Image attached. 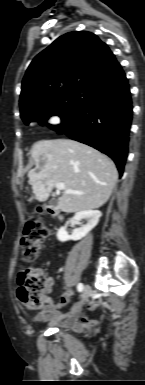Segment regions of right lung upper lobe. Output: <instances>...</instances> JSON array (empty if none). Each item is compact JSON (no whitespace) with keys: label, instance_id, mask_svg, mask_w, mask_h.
<instances>
[{"label":"right lung upper lobe","instance_id":"cb5924a9","mask_svg":"<svg viewBox=\"0 0 145 385\" xmlns=\"http://www.w3.org/2000/svg\"><path fill=\"white\" fill-rule=\"evenodd\" d=\"M123 73L108 46L93 33L62 35L29 65L22 82L21 116L71 90L94 91Z\"/></svg>","mask_w":145,"mask_h":385}]
</instances>
